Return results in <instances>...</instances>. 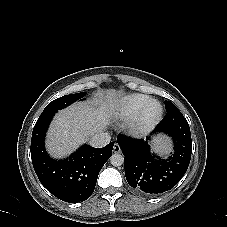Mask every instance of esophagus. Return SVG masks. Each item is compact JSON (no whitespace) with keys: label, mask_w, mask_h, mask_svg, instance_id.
<instances>
[{"label":"esophagus","mask_w":227,"mask_h":227,"mask_svg":"<svg viewBox=\"0 0 227 227\" xmlns=\"http://www.w3.org/2000/svg\"><path fill=\"white\" fill-rule=\"evenodd\" d=\"M113 151H114V153H120L121 152V148H120L118 143L114 144Z\"/></svg>","instance_id":"obj_1"}]
</instances>
